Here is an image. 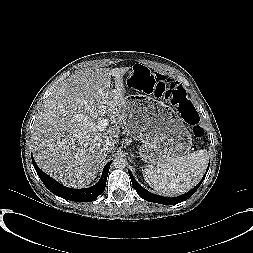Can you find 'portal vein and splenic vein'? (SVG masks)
Masks as SVG:
<instances>
[{
  "instance_id": "obj_1",
  "label": "portal vein and splenic vein",
  "mask_w": 253,
  "mask_h": 253,
  "mask_svg": "<svg viewBox=\"0 0 253 253\" xmlns=\"http://www.w3.org/2000/svg\"><path fill=\"white\" fill-rule=\"evenodd\" d=\"M109 125L108 119H100L96 124L91 123L90 126L93 129V131H104L107 126Z\"/></svg>"
}]
</instances>
